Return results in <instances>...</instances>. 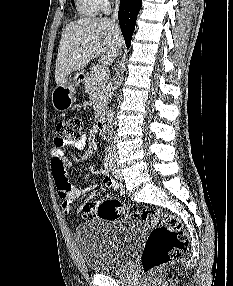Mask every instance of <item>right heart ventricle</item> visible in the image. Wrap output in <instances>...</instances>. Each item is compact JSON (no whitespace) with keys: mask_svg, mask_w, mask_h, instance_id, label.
<instances>
[{"mask_svg":"<svg viewBox=\"0 0 233 286\" xmlns=\"http://www.w3.org/2000/svg\"><path fill=\"white\" fill-rule=\"evenodd\" d=\"M79 14L84 17H93L99 13L101 6L98 0H75Z\"/></svg>","mask_w":233,"mask_h":286,"instance_id":"1","label":"right heart ventricle"}]
</instances>
